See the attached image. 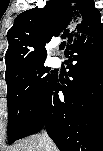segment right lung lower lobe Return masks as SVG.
I'll use <instances>...</instances> for the list:
<instances>
[{"label":"right lung lower lobe","instance_id":"obj_1","mask_svg":"<svg viewBox=\"0 0 103 151\" xmlns=\"http://www.w3.org/2000/svg\"><path fill=\"white\" fill-rule=\"evenodd\" d=\"M68 75L64 82L57 76L47 90L36 114L20 138L42 128L60 151H92L98 148L103 114V30L95 26L71 43ZM62 91L63 96L58 92Z\"/></svg>","mask_w":103,"mask_h":151}]
</instances>
